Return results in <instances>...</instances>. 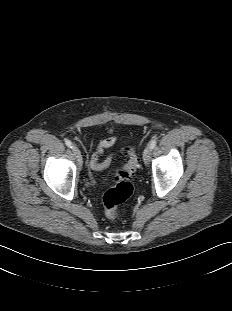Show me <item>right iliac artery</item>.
I'll return each mask as SVG.
<instances>
[{"instance_id":"obj_1","label":"right iliac artery","mask_w":232,"mask_h":311,"mask_svg":"<svg viewBox=\"0 0 232 311\" xmlns=\"http://www.w3.org/2000/svg\"><path fill=\"white\" fill-rule=\"evenodd\" d=\"M65 144H66L68 147H70V148L73 147L72 142H71L70 140H68V139L65 140Z\"/></svg>"}]
</instances>
